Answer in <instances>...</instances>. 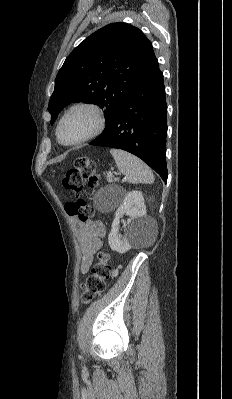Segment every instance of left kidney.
<instances>
[{
    "label": "left kidney",
    "mask_w": 232,
    "mask_h": 399,
    "mask_svg": "<svg viewBox=\"0 0 232 399\" xmlns=\"http://www.w3.org/2000/svg\"><path fill=\"white\" fill-rule=\"evenodd\" d=\"M124 213L130 215L127 219L126 231L124 235L119 233L120 217ZM152 229L151 221L147 217V209L144 203L142 192H129L125 196V200L115 211V217L112 221V229L108 235V241L111 249H115L118 253H125L135 243H142L144 237L150 233Z\"/></svg>",
    "instance_id": "left-kidney-1"
}]
</instances>
